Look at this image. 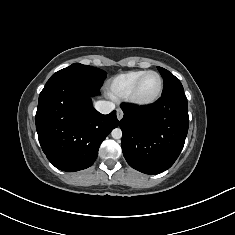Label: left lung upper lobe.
I'll list each match as a JSON object with an SVG mask.
<instances>
[{
	"instance_id": "5c2ea615",
	"label": "left lung upper lobe",
	"mask_w": 235,
	"mask_h": 235,
	"mask_svg": "<svg viewBox=\"0 0 235 235\" xmlns=\"http://www.w3.org/2000/svg\"><path fill=\"white\" fill-rule=\"evenodd\" d=\"M157 68L164 80L162 96L171 93L184 92L182 84L172 73L162 67Z\"/></svg>"
}]
</instances>
